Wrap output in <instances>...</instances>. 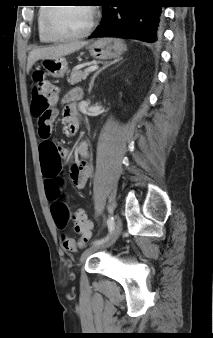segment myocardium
Segmentation results:
<instances>
[{
  "label": "myocardium",
  "mask_w": 213,
  "mask_h": 338,
  "mask_svg": "<svg viewBox=\"0 0 213 338\" xmlns=\"http://www.w3.org/2000/svg\"><path fill=\"white\" fill-rule=\"evenodd\" d=\"M57 7H61V6H50V8H48L45 18H44V32L46 33V35L51 38L54 41H68V40H75V39H79V38H83L87 35H89L92 30L94 29L95 25H96V19H97V14L98 11L94 6H85L87 8H89L90 12H91V16H90V21L89 24L87 25V27L79 32V33H74V34H59L57 32H55L52 27H51V15L54 11L55 8Z\"/></svg>",
  "instance_id": "1"
}]
</instances>
